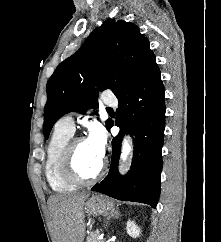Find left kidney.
I'll return each mask as SVG.
<instances>
[{
  "label": "left kidney",
  "instance_id": "left-kidney-1",
  "mask_svg": "<svg viewBox=\"0 0 221 242\" xmlns=\"http://www.w3.org/2000/svg\"><path fill=\"white\" fill-rule=\"evenodd\" d=\"M126 230L129 236L136 238L140 235V228L135 224L134 221L128 220L126 225Z\"/></svg>",
  "mask_w": 221,
  "mask_h": 242
}]
</instances>
